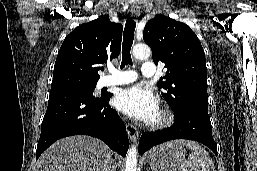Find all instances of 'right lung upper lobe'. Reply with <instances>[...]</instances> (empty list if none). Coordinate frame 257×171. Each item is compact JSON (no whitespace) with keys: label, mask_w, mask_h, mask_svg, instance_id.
<instances>
[{"label":"right lung upper lobe","mask_w":257,"mask_h":171,"mask_svg":"<svg viewBox=\"0 0 257 171\" xmlns=\"http://www.w3.org/2000/svg\"><path fill=\"white\" fill-rule=\"evenodd\" d=\"M122 30L106 15L75 28L58 52L51 87L97 82L100 65L120 53Z\"/></svg>","instance_id":"cb5924a9"}]
</instances>
